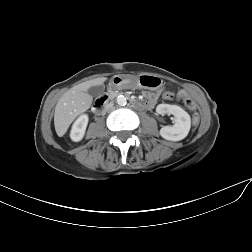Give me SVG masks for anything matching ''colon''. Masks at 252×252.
Wrapping results in <instances>:
<instances>
[{
	"label": "colon",
	"instance_id": "5ec220e1",
	"mask_svg": "<svg viewBox=\"0 0 252 252\" xmlns=\"http://www.w3.org/2000/svg\"><path fill=\"white\" fill-rule=\"evenodd\" d=\"M141 83H142L143 85H146V86H151V85H152L151 81H149V80L141 81ZM163 96H164V98L167 99V100H172V99H174V97H175V95H174L172 92H166V93H164ZM177 98L182 99L184 105H185L190 111L193 112V118H192L193 124H194L195 126L198 125V123H199V115H198V113L196 112L197 107H196L195 102H194L191 98L186 97V96H185V97H182L181 95H177Z\"/></svg>",
	"mask_w": 252,
	"mask_h": 252
}]
</instances>
